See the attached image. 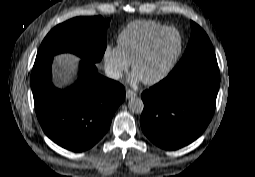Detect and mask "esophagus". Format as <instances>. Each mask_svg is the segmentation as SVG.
Listing matches in <instances>:
<instances>
[{
	"mask_svg": "<svg viewBox=\"0 0 255 177\" xmlns=\"http://www.w3.org/2000/svg\"><path fill=\"white\" fill-rule=\"evenodd\" d=\"M135 96H137V94L134 91H132L130 89L126 90V98L127 99L133 98Z\"/></svg>",
	"mask_w": 255,
	"mask_h": 177,
	"instance_id": "1",
	"label": "esophagus"
}]
</instances>
